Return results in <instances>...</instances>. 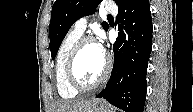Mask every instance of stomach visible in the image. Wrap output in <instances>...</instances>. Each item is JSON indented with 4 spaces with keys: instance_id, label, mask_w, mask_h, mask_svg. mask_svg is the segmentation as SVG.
Returning a JSON list of instances; mask_svg holds the SVG:
<instances>
[{
    "instance_id": "stomach-1",
    "label": "stomach",
    "mask_w": 193,
    "mask_h": 112,
    "mask_svg": "<svg viewBox=\"0 0 193 112\" xmlns=\"http://www.w3.org/2000/svg\"><path fill=\"white\" fill-rule=\"evenodd\" d=\"M89 112H110L109 109L100 100L95 101Z\"/></svg>"
}]
</instances>
